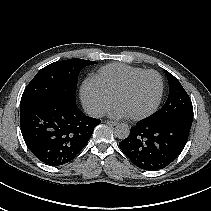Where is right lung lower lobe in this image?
Here are the masks:
<instances>
[{"instance_id":"98d812e1","label":"right lung lower lobe","mask_w":211,"mask_h":211,"mask_svg":"<svg viewBox=\"0 0 211 211\" xmlns=\"http://www.w3.org/2000/svg\"><path fill=\"white\" fill-rule=\"evenodd\" d=\"M100 123L84 115L76 103L48 101L20 109L26 145L36 158L51 166L74 159Z\"/></svg>"}]
</instances>
